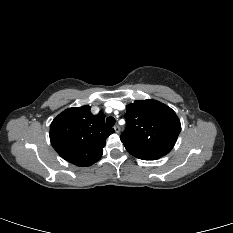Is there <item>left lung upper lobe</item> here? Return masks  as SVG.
<instances>
[{
  "label": "left lung upper lobe",
  "instance_id": "obj_1",
  "mask_svg": "<svg viewBox=\"0 0 233 233\" xmlns=\"http://www.w3.org/2000/svg\"><path fill=\"white\" fill-rule=\"evenodd\" d=\"M126 110L128 127L120 139L131 155L160 158L171 151L181 124L170 107L155 100H137Z\"/></svg>",
  "mask_w": 233,
  "mask_h": 233
}]
</instances>
